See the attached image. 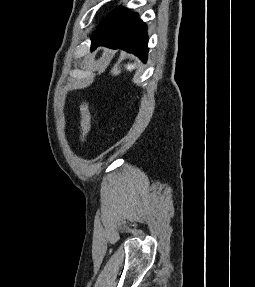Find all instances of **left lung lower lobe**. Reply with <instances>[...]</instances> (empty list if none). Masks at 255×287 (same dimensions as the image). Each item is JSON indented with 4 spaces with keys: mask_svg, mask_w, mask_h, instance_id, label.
Instances as JSON below:
<instances>
[{
    "mask_svg": "<svg viewBox=\"0 0 255 287\" xmlns=\"http://www.w3.org/2000/svg\"><path fill=\"white\" fill-rule=\"evenodd\" d=\"M91 50L98 46L120 48L147 60V27L136 13L125 8L112 10L91 35Z\"/></svg>",
    "mask_w": 255,
    "mask_h": 287,
    "instance_id": "1",
    "label": "left lung lower lobe"
}]
</instances>
